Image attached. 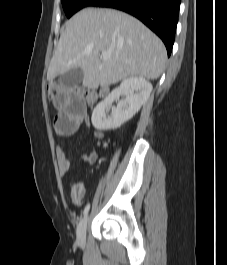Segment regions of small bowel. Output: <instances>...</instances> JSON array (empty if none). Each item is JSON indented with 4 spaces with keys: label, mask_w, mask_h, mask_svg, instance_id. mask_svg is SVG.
Masks as SVG:
<instances>
[{
    "label": "small bowel",
    "mask_w": 227,
    "mask_h": 265,
    "mask_svg": "<svg viewBox=\"0 0 227 265\" xmlns=\"http://www.w3.org/2000/svg\"><path fill=\"white\" fill-rule=\"evenodd\" d=\"M54 104L60 111L54 119V129L59 137L71 136L77 132L81 124L91 126L89 116L87 114V105L83 91H78V87H57V96H53ZM103 138V132L95 130L93 139L100 140ZM98 158L95 151H90L82 155V159L87 163H94ZM59 171L62 177L66 176L70 170L71 163L66 153L59 150L57 154ZM85 186L82 182L76 181L72 183L70 196L75 205H80L85 196Z\"/></svg>",
    "instance_id": "1"
}]
</instances>
